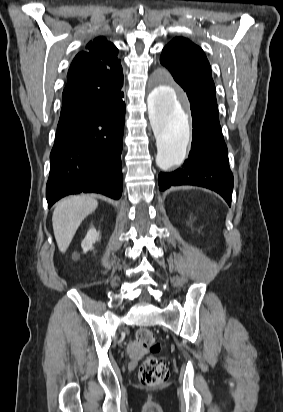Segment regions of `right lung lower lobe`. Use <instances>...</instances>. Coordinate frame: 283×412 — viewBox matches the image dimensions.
I'll use <instances>...</instances> for the list:
<instances>
[{"label": "right lung lower lobe", "instance_id": "1", "mask_svg": "<svg viewBox=\"0 0 283 412\" xmlns=\"http://www.w3.org/2000/svg\"><path fill=\"white\" fill-rule=\"evenodd\" d=\"M123 83L107 82L76 92L62 103L46 186L50 208L80 192L122 194Z\"/></svg>", "mask_w": 283, "mask_h": 412}]
</instances>
